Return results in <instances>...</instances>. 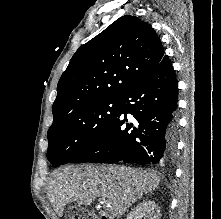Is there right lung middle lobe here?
<instances>
[{"label": "right lung middle lobe", "instance_id": "dd1d6c3e", "mask_svg": "<svg viewBox=\"0 0 221 219\" xmlns=\"http://www.w3.org/2000/svg\"><path fill=\"white\" fill-rule=\"evenodd\" d=\"M120 99H103L83 104L53 121L48 130L47 158L63 165L91 147L117 116Z\"/></svg>", "mask_w": 221, "mask_h": 219}]
</instances>
